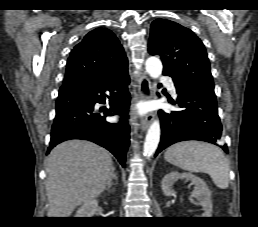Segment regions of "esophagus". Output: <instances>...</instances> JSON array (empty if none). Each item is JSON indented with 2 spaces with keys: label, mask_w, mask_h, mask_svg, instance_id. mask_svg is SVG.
I'll use <instances>...</instances> for the list:
<instances>
[{
  "label": "esophagus",
  "mask_w": 258,
  "mask_h": 227,
  "mask_svg": "<svg viewBox=\"0 0 258 227\" xmlns=\"http://www.w3.org/2000/svg\"><path fill=\"white\" fill-rule=\"evenodd\" d=\"M152 86L149 78L146 75L140 77L138 83V96L141 100H148L152 98ZM153 119V114L149 113L143 116L140 120L141 128L145 131Z\"/></svg>",
  "instance_id": "34e87169"
}]
</instances>
